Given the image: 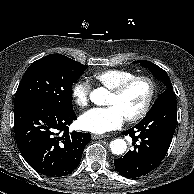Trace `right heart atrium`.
Instances as JSON below:
<instances>
[{
	"mask_svg": "<svg viewBox=\"0 0 194 194\" xmlns=\"http://www.w3.org/2000/svg\"><path fill=\"white\" fill-rule=\"evenodd\" d=\"M91 84L88 80L80 78L71 87V97L73 102L79 107H85L89 101Z\"/></svg>",
	"mask_w": 194,
	"mask_h": 194,
	"instance_id": "obj_1",
	"label": "right heart atrium"
}]
</instances>
